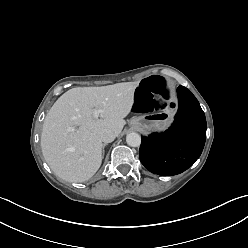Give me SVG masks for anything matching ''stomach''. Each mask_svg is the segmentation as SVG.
Returning a JSON list of instances; mask_svg holds the SVG:
<instances>
[{
    "instance_id": "1",
    "label": "stomach",
    "mask_w": 248,
    "mask_h": 248,
    "mask_svg": "<svg viewBox=\"0 0 248 248\" xmlns=\"http://www.w3.org/2000/svg\"><path fill=\"white\" fill-rule=\"evenodd\" d=\"M167 118H163L161 113L147 112L141 116H135L131 119V126L144 132L164 129L167 126Z\"/></svg>"
}]
</instances>
